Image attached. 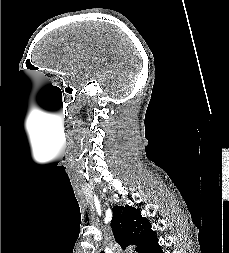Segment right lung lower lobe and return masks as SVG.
<instances>
[{
  "instance_id": "98d812e1",
  "label": "right lung lower lobe",
  "mask_w": 229,
  "mask_h": 253,
  "mask_svg": "<svg viewBox=\"0 0 229 253\" xmlns=\"http://www.w3.org/2000/svg\"><path fill=\"white\" fill-rule=\"evenodd\" d=\"M145 253H163L158 240Z\"/></svg>"
}]
</instances>
